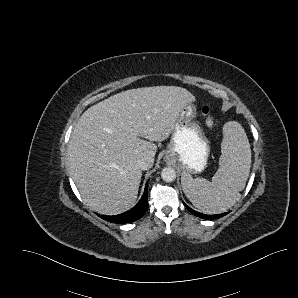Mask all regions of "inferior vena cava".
<instances>
[{
  "label": "inferior vena cava",
  "mask_w": 298,
  "mask_h": 298,
  "mask_svg": "<svg viewBox=\"0 0 298 298\" xmlns=\"http://www.w3.org/2000/svg\"><path fill=\"white\" fill-rule=\"evenodd\" d=\"M136 165L142 170H148L152 166V164H150L145 158H139L136 162Z\"/></svg>",
  "instance_id": "1"
}]
</instances>
